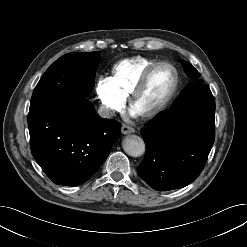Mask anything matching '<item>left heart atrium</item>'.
Here are the masks:
<instances>
[{"label":"left heart atrium","instance_id":"39dd6f15","mask_svg":"<svg viewBox=\"0 0 247 247\" xmlns=\"http://www.w3.org/2000/svg\"><path fill=\"white\" fill-rule=\"evenodd\" d=\"M131 114H132L133 116L138 115V114H136L133 110H132Z\"/></svg>","mask_w":247,"mask_h":247}]
</instances>
